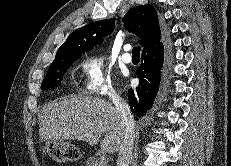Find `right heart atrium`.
Masks as SVG:
<instances>
[{"label":"right heart atrium","instance_id":"right-heart-atrium-1","mask_svg":"<svg viewBox=\"0 0 231 166\" xmlns=\"http://www.w3.org/2000/svg\"><path fill=\"white\" fill-rule=\"evenodd\" d=\"M83 74V89L86 93L95 96L114 95L111 73L106 67L102 56L86 55L81 62Z\"/></svg>","mask_w":231,"mask_h":166}]
</instances>
